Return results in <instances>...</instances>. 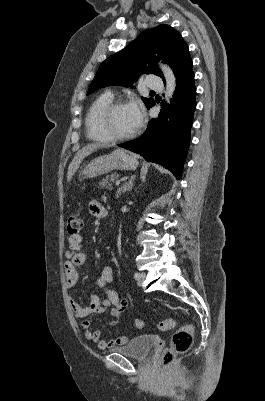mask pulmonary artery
<instances>
[{
	"label": "pulmonary artery",
	"instance_id": "obj_1",
	"mask_svg": "<svg viewBox=\"0 0 265 401\" xmlns=\"http://www.w3.org/2000/svg\"><path fill=\"white\" fill-rule=\"evenodd\" d=\"M148 81V87L150 90H163L164 83L161 75H150Z\"/></svg>",
	"mask_w": 265,
	"mask_h": 401
}]
</instances>
